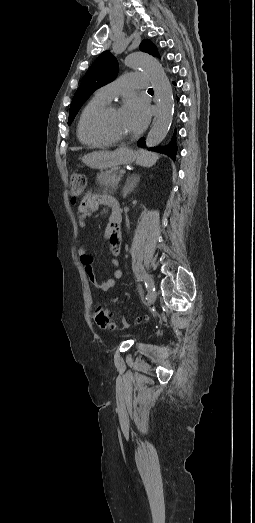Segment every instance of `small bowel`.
<instances>
[{"label": "small bowel", "mask_w": 255, "mask_h": 523, "mask_svg": "<svg viewBox=\"0 0 255 523\" xmlns=\"http://www.w3.org/2000/svg\"><path fill=\"white\" fill-rule=\"evenodd\" d=\"M109 197L107 196H96V195H87L86 198L80 203L78 207V225L80 228L84 229L86 226V219L95 212L100 205H108L107 199ZM105 235L108 240L109 244V250L113 254L114 258L111 260V264L114 267L119 266V260L118 255L120 254V233L118 230V227L112 226L109 223L106 226L105 229ZM77 253L79 256V259L81 263L85 267V271L87 274V277L90 281V283L97 288L98 290L102 292H107L110 289H112L115 285V279H119L122 277V271L120 269H116L114 272V278H108L104 281H99L96 277V274L93 269V258L92 256L87 252V250L80 245L77 248Z\"/></svg>", "instance_id": "c3829d8e"}]
</instances>
